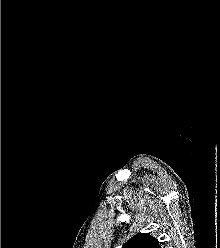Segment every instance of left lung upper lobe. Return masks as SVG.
<instances>
[{"mask_svg": "<svg viewBox=\"0 0 220 248\" xmlns=\"http://www.w3.org/2000/svg\"><path fill=\"white\" fill-rule=\"evenodd\" d=\"M122 248H161L156 238L149 233H138L129 241H127Z\"/></svg>", "mask_w": 220, "mask_h": 248, "instance_id": "obj_1", "label": "left lung upper lobe"}]
</instances>
